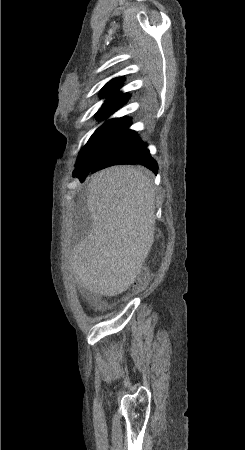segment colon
<instances>
[{"mask_svg": "<svg viewBox=\"0 0 245 450\" xmlns=\"http://www.w3.org/2000/svg\"><path fill=\"white\" fill-rule=\"evenodd\" d=\"M145 286V278L139 275L131 286L130 292L132 294L139 292Z\"/></svg>", "mask_w": 245, "mask_h": 450, "instance_id": "1", "label": "colon"}]
</instances>
